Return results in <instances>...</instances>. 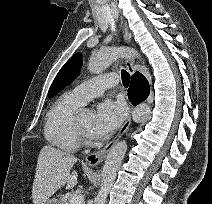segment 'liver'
I'll return each mask as SVG.
<instances>
[{
  "label": "liver",
  "instance_id": "liver-1",
  "mask_svg": "<svg viewBox=\"0 0 212 204\" xmlns=\"http://www.w3.org/2000/svg\"><path fill=\"white\" fill-rule=\"evenodd\" d=\"M77 158L67 152L45 145L40 150L32 187L33 204H44L58 189L77 184V171L70 173Z\"/></svg>",
  "mask_w": 212,
  "mask_h": 204
}]
</instances>
